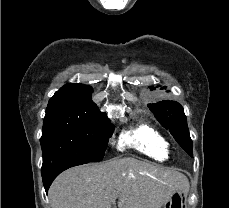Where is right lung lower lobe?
Wrapping results in <instances>:
<instances>
[{
    "mask_svg": "<svg viewBox=\"0 0 229 208\" xmlns=\"http://www.w3.org/2000/svg\"><path fill=\"white\" fill-rule=\"evenodd\" d=\"M86 163H89V162L82 161V160H75V159H65V160H61L55 163L54 165L50 166L49 168L45 170H42L41 171L42 180H43V184H44V188L46 192H48V189L51 183L61 172H63L64 170L70 167L82 165Z\"/></svg>",
    "mask_w": 229,
    "mask_h": 208,
    "instance_id": "1",
    "label": "right lung lower lobe"
}]
</instances>
